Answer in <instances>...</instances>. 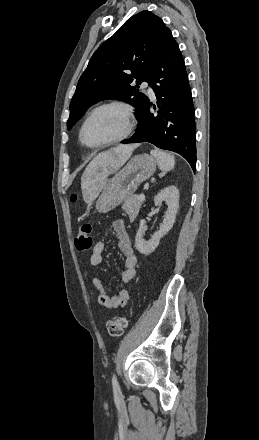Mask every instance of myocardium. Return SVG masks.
<instances>
[{
  "label": "myocardium",
  "mask_w": 259,
  "mask_h": 440,
  "mask_svg": "<svg viewBox=\"0 0 259 440\" xmlns=\"http://www.w3.org/2000/svg\"><path fill=\"white\" fill-rule=\"evenodd\" d=\"M109 107H117V108H120L122 110V112L124 114V119H125V130H124V132L120 136H118V137H116V138H114L112 140L100 143V144H96V145H88V144H86L84 142V140H83V130H84L85 125L87 124L89 119L96 112H98V111H100L102 109H105V108H109ZM135 126H136V123H135V112H134L133 106L131 104H129L128 102L123 101V100H110V101H106V102H103V103L95 106L94 108H92L85 115V117H84V119H83V121H82V123L80 125V128H79L78 137H79L80 143L84 147H86L88 149L95 150V149L104 148V147H107V146H110V145H113V144H117V143H120V142L124 141L125 139H127L128 137H130L132 135V133L135 130Z\"/></svg>",
  "instance_id": "obj_1"
}]
</instances>
